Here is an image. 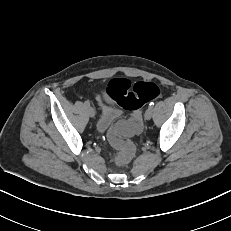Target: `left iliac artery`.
Returning a JSON list of instances; mask_svg holds the SVG:
<instances>
[{"instance_id": "obj_1", "label": "left iliac artery", "mask_w": 231, "mask_h": 231, "mask_svg": "<svg viewBox=\"0 0 231 231\" xmlns=\"http://www.w3.org/2000/svg\"><path fill=\"white\" fill-rule=\"evenodd\" d=\"M154 104H155L154 102H150L149 107H150V108H153V107H154Z\"/></svg>"}]
</instances>
